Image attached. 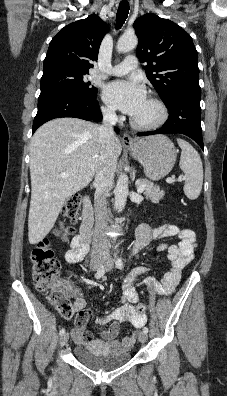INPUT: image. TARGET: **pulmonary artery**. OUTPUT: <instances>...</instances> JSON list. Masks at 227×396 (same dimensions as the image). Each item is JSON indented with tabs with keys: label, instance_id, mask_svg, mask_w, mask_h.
Instances as JSON below:
<instances>
[{
	"label": "pulmonary artery",
	"instance_id": "obj_1",
	"mask_svg": "<svg viewBox=\"0 0 227 396\" xmlns=\"http://www.w3.org/2000/svg\"><path fill=\"white\" fill-rule=\"evenodd\" d=\"M138 65L137 58L135 56H127L121 63L106 70L109 75L121 76L132 70Z\"/></svg>",
	"mask_w": 227,
	"mask_h": 396
}]
</instances>
